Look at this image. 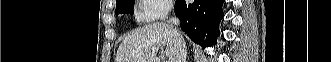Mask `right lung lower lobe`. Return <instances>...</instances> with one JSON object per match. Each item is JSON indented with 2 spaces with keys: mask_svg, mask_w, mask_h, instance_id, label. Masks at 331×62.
<instances>
[{
  "mask_svg": "<svg viewBox=\"0 0 331 62\" xmlns=\"http://www.w3.org/2000/svg\"><path fill=\"white\" fill-rule=\"evenodd\" d=\"M224 0H176L175 11L180 18L181 29L201 46H213L219 35V23L223 18Z\"/></svg>",
  "mask_w": 331,
  "mask_h": 62,
  "instance_id": "right-lung-lower-lobe-1",
  "label": "right lung lower lobe"
}]
</instances>
